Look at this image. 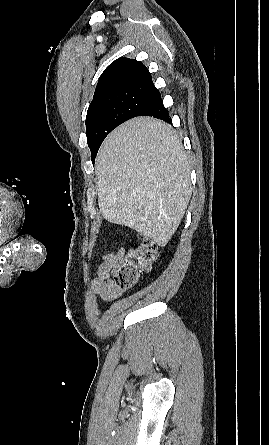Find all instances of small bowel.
Returning <instances> with one entry per match:
<instances>
[{"label":"small bowel","instance_id":"1","mask_svg":"<svg viewBox=\"0 0 269 445\" xmlns=\"http://www.w3.org/2000/svg\"><path fill=\"white\" fill-rule=\"evenodd\" d=\"M125 254L124 249L103 256L102 263L97 269V277L91 283V290L100 297L101 302L109 303L115 300L120 290L111 280V272L118 265Z\"/></svg>","mask_w":269,"mask_h":445}]
</instances>
